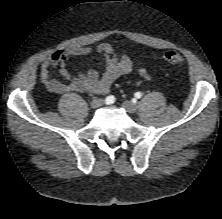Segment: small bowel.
<instances>
[{"mask_svg": "<svg viewBox=\"0 0 222 219\" xmlns=\"http://www.w3.org/2000/svg\"><path fill=\"white\" fill-rule=\"evenodd\" d=\"M98 55L102 59L103 72L99 74L94 68H88L86 72L72 76L67 63L73 57H90ZM59 69L60 75L66 82H60L52 78V70ZM136 65L127 56H118L116 46L111 43H100L93 46H78L69 49H59L47 56L40 68V80L44 86L56 94L68 92H86L92 94H108L116 80L130 73ZM140 75L147 81L150 75L144 68H138Z\"/></svg>", "mask_w": 222, "mask_h": 219, "instance_id": "c3829d8e", "label": "small bowel"}]
</instances>
